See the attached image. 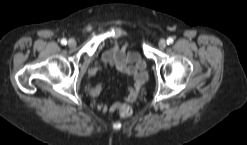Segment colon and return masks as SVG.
I'll return each instance as SVG.
<instances>
[{"instance_id":"5ec220e1","label":"colon","mask_w":247,"mask_h":145,"mask_svg":"<svg viewBox=\"0 0 247 145\" xmlns=\"http://www.w3.org/2000/svg\"><path fill=\"white\" fill-rule=\"evenodd\" d=\"M132 112V108L128 104H123L119 109V114L125 118L130 117Z\"/></svg>"}]
</instances>
